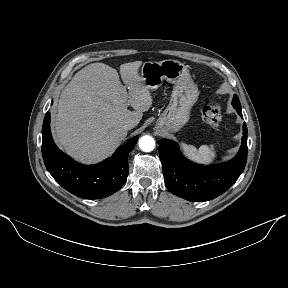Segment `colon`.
I'll use <instances>...</instances> for the list:
<instances>
[{"mask_svg": "<svg viewBox=\"0 0 288 288\" xmlns=\"http://www.w3.org/2000/svg\"><path fill=\"white\" fill-rule=\"evenodd\" d=\"M202 119L204 123L211 128L219 127L222 120L220 105L213 102L204 106L202 110Z\"/></svg>", "mask_w": 288, "mask_h": 288, "instance_id": "1", "label": "colon"}]
</instances>
